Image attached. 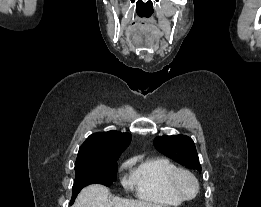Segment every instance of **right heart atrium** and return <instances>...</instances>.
<instances>
[{"label":"right heart atrium","mask_w":261,"mask_h":207,"mask_svg":"<svg viewBox=\"0 0 261 207\" xmlns=\"http://www.w3.org/2000/svg\"><path fill=\"white\" fill-rule=\"evenodd\" d=\"M123 183H124V185H125L126 187H130V186L133 184V180H132V179L126 180V181H124Z\"/></svg>","instance_id":"obj_1"}]
</instances>
